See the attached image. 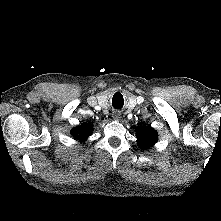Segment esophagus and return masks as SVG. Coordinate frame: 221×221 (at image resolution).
I'll return each mask as SVG.
<instances>
[{
	"label": "esophagus",
	"mask_w": 221,
	"mask_h": 221,
	"mask_svg": "<svg viewBox=\"0 0 221 221\" xmlns=\"http://www.w3.org/2000/svg\"><path fill=\"white\" fill-rule=\"evenodd\" d=\"M113 118H114L115 120H119L120 114H118V113L113 114Z\"/></svg>",
	"instance_id": "1"
}]
</instances>
